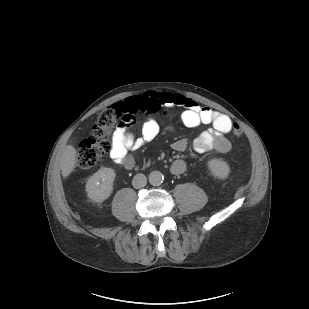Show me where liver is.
<instances>
[{
	"label": "liver",
	"instance_id": "6515ba94",
	"mask_svg": "<svg viewBox=\"0 0 309 309\" xmlns=\"http://www.w3.org/2000/svg\"><path fill=\"white\" fill-rule=\"evenodd\" d=\"M77 164V151L72 145H67L61 157V173L64 178L68 177Z\"/></svg>",
	"mask_w": 309,
	"mask_h": 309
}]
</instances>
